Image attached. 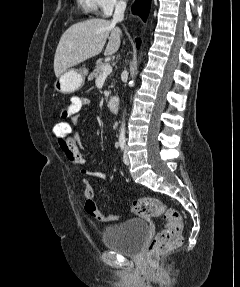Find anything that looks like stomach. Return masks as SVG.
<instances>
[{"mask_svg": "<svg viewBox=\"0 0 240 287\" xmlns=\"http://www.w3.org/2000/svg\"><path fill=\"white\" fill-rule=\"evenodd\" d=\"M87 69H68L62 75L57 77L53 87L57 93H73L80 89L85 82Z\"/></svg>", "mask_w": 240, "mask_h": 287, "instance_id": "obj_1", "label": "stomach"}]
</instances>
